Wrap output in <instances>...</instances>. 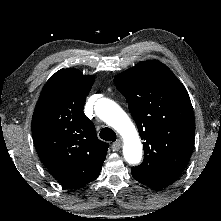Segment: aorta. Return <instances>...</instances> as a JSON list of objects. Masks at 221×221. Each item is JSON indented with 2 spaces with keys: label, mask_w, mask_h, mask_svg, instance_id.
I'll return each mask as SVG.
<instances>
[{
  "label": "aorta",
  "mask_w": 221,
  "mask_h": 221,
  "mask_svg": "<svg viewBox=\"0 0 221 221\" xmlns=\"http://www.w3.org/2000/svg\"><path fill=\"white\" fill-rule=\"evenodd\" d=\"M95 112L123 137L125 160L131 165L138 164L142 158V145L134 124L124 110L114 101L102 98L96 102Z\"/></svg>",
  "instance_id": "obj_1"
}]
</instances>
